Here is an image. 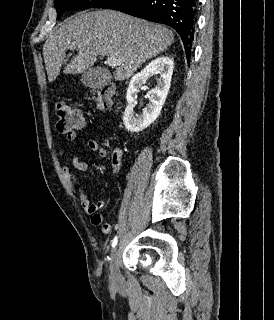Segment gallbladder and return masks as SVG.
I'll return each mask as SVG.
<instances>
[{
    "mask_svg": "<svg viewBox=\"0 0 274 320\" xmlns=\"http://www.w3.org/2000/svg\"><path fill=\"white\" fill-rule=\"evenodd\" d=\"M116 78L115 72H106V68H86L82 72L81 82L83 86L96 89V85H109L111 79Z\"/></svg>",
    "mask_w": 274,
    "mask_h": 320,
    "instance_id": "1",
    "label": "gallbladder"
}]
</instances>
